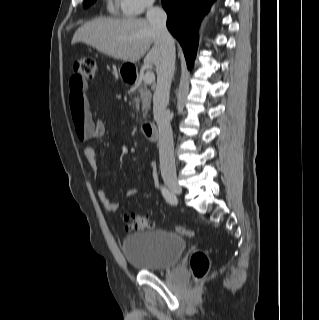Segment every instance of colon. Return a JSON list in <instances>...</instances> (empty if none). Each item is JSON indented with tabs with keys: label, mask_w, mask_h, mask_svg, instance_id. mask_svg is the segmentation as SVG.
Instances as JSON below:
<instances>
[{
	"label": "colon",
	"mask_w": 319,
	"mask_h": 320,
	"mask_svg": "<svg viewBox=\"0 0 319 320\" xmlns=\"http://www.w3.org/2000/svg\"><path fill=\"white\" fill-rule=\"evenodd\" d=\"M74 76L81 81L91 80L95 76L96 62L91 57H81L73 63ZM73 122L77 138L81 142H87L94 138V130L87 118L83 114L74 113ZM124 224L129 231H138L152 226L148 216L138 214H127L124 217ZM175 232L186 236L193 237L195 232L189 228L177 226ZM190 268L196 280L206 276L210 268V260L203 251L195 252L190 258Z\"/></svg>",
	"instance_id": "colon-1"
}]
</instances>
